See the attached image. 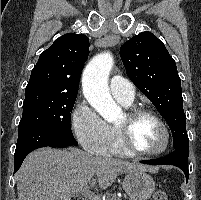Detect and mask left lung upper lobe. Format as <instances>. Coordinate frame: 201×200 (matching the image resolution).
<instances>
[{
	"instance_id": "5c2ea615",
	"label": "left lung upper lobe",
	"mask_w": 201,
	"mask_h": 200,
	"mask_svg": "<svg viewBox=\"0 0 201 200\" xmlns=\"http://www.w3.org/2000/svg\"><path fill=\"white\" fill-rule=\"evenodd\" d=\"M126 73L168 123L173 147H189L181 79L174 59L152 33L142 32L120 47Z\"/></svg>"
}]
</instances>
